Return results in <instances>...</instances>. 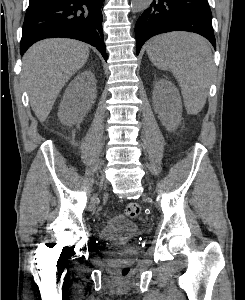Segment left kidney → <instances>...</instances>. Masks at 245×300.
Instances as JSON below:
<instances>
[{
  "instance_id": "1",
  "label": "left kidney",
  "mask_w": 245,
  "mask_h": 300,
  "mask_svg": "<svg viewBox=\"0 0 245 300\" xmlns=\"http://www.w3.org/2000/svg\"><path fill=\"white\" fill-rule=\"evenodd\" d=\"M152 99L154 110L163 125L171 129L176 127L182 114L180 95L176 87L170 81L160 80L154 84Z\"/></svg>"
}]
</instances>
